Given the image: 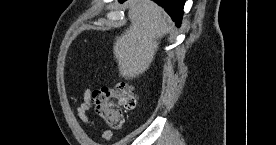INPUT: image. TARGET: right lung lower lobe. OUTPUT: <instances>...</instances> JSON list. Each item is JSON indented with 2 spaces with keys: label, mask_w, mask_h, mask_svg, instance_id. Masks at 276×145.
<instances>
[{
  "label": "right lung lower lobe",
  "mask_w": 276,
  "mask_h": 145,
  "mask_svg": "<svg viewBox=\"0 0 276 145\" xmlns=\"http://www.w3.org/2000/svg\"><path fill=\"white\" fill-rule=\"evenodd\" d=\"M124 2L125 0H119ZM160 6L164 7L166 12L171 16L173 21L177 26H180L182 16H183V7L185 0H154Z\"/></svg>",
  "instance_id": "1"
}]
</instances>
